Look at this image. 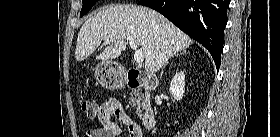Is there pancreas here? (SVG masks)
Returning <instances> with one entry per match:
<instances>
[{"mask_svg": "<svg viewBox=\"0 0 280 137\" xmlns=\"http://www.w3.org/2000/svg\"><path fill=\"white\" fill-rule=\"evenodd\" d=\"M130 103L136 108L138 116L142 117V112L150 110V100L147 94L144 95L141 92H134L130 98Z\"/></svg>", "mask_w": 280, "mask_h": 137, "instance_id": "1", "label": "pancreas"}]
</instances>
